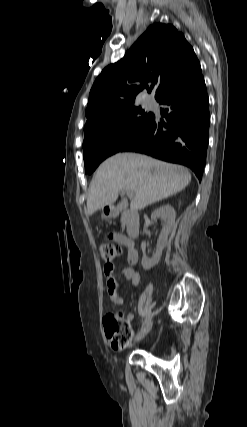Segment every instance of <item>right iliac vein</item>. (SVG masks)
<instances>
[{"label": "right iliac vein", "instance_id": "obj_1", "mask_svg": "<svg viewBox=\"0 0 247 427\" xmlns=\"http://www.w3.org/2000/svg\"><path fill=\"white\" fill-rule=\"evenodd\" d=\"M153 325V320L149 319V321L146 323V325L140 330V332L136 335L135 341L139 342L142 340L151 330Z\"/></svg>", "mask_w": 247, "mask_h": 427}]
</instances>
